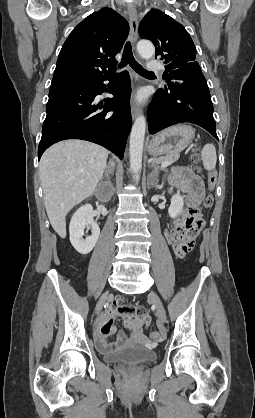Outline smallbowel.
Here are the masks:
<instances>
[{
    "mask_svg": "<svg viewBox=\"0 0 255 418\" xmlns=\"http://www.w3.org/2000/svg\"><path fill=\"white\" fill-rule=\"evenodd\" d=\"M170 181L174 189L186 194L188 207L199 205L204 195V186L202 180L191 170L179 169L171 176ZM198 235V228H173L166 232L169 254L174 256L175 261H184L185 256H189L190 249L196 247ZM118 316L123 318L125 326L132 332V338L128 339L123 332H118L116 339L110 342L108 337L115 332L114 320ZM150 321V315L144 308H134L122 299H117L98 320L94 330L96 345L102 351H112L140 342L143 340V328Z\"/></svg>",
    "mask_w": 255,
    "mask_h": 418,
    "instance_id": "c3829d8e",
    "label": "small bowel"
}]
</instances>
